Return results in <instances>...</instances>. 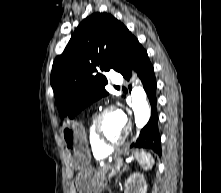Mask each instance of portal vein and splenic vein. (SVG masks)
Instances as JSON below:
<instances>
[{"instance_id":"1","label":"portal vein and splenic vein","mask_w":221,"mask_h":193,"mask_svg":"<svg viewBox=\"0 0 221 193\" xmlns=\"http://www.w3.org/2000/svg\"><path fill=\"white\" fill-rule=\"evenodd\" d=\"M121 164H117L115 166V168L112 170V172L110 174H108V177L111 178L112 176H114L116 174V172L119 170Z\"/></svg>"}]
</instances>
